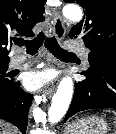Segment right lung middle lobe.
I'll return each instance as SVG.
<instances>
[{
  "instance_id": "dd1d6c3e",
  "label": "right lung middle lobe",
  "mask_w": 116,
  "mask_h": 134,
  "mask_svg": "<svg viewBox=\"0 0 116 134\" xmlns=\"http://www.w3.org/2000/svg\"><path fill=\"white\" fill-rule=\"evenodd\" d=\"M8 63L9 61L0 62V93L8 92L14 87L13 80H10L8 78L10 76L6 74Z\"/></svg>"
}]
</instances>
